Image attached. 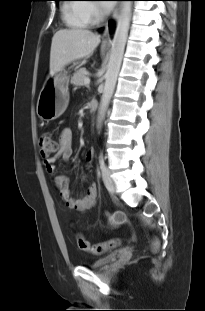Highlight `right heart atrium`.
<instances>
[{"mask_svg": "<svg viewBox=\"0 0 205 311\" xmlns=\"http://www.w3.org/2000/svg\"><path fill=\"white\" fill-rule=\"evenodd\" d=\"M87 13L92 22L99 20L102 16V11L100 10L97 4H88Z\"/></svg>", "mask_w": 205, "mask_h": 311, "instance_id": "d8ad5b80", "label": "right heart atrium"}]
</instances>
